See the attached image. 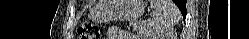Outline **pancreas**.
<instances>
[{
  "label": "pancreas",
  "mask_w": 249,
  "mask_h": 39,
  "mask_svg": "<svg viewBox=\"0 0 249 39\" xmlns=\"http://www.w3.org/2000/svg\"><path fill=\"white\" fill-rule=\"evenodd\" d=\"M131 25H132L133 30H135L141 36H144L148 33V29H146L139 23H132Z\"/></svg>",
  "instance_id": "pancreas-1"
}]
</instances>
